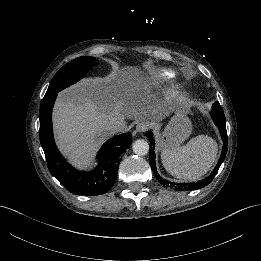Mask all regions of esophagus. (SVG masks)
I'll list each match as a JSON object with an SVG mask.
<instances>
[{
    "label": "esophagus",
    "instance_id": "obj_1",
    "mask_svg": "<svg viewBox=\"0 0 261 261\" xmlns=\"http://www.w3.org/2000/svg\"><path fill=\"white\" fill-rule=\"evenodd\" d=\"M149 129V124L147 122H140L136 126V131L139 133L145 132Z\"/></svg>",
    "mask_w": 261,
    "mask_h": 261
}]
</instances>
